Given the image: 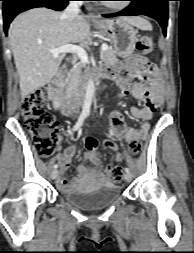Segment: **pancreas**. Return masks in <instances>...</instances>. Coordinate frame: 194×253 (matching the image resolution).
<instances>
[{
	"label": "pancreas",
	"mask_w": 194,
	"mask_h": 253,
	"mask_svg": "<svg viewBox=\"0 0 194 253\" xmlns=\"http://www.w3.org/2000/svg\"><path fill=\"white\" fill-rule=\"evenodd\" d=\"M100 58L107 64H114L118 61L117 52L115 49L108 47L107 50L102 51ZM86 66L85 63H77L73 69L68 73L66 78V91L74 93L80 85H83L85 74L82 73V68Z\"/></svg>",
	"instance_id": "obj_1"
}]
</instances>
